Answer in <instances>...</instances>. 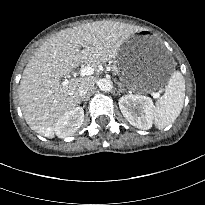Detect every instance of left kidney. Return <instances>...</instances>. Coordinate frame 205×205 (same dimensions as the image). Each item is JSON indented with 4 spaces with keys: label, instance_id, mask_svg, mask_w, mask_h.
<instances>
[{
    "label": "left kidney",
    "instance_id": "left-kidney-1",
    "mask_svg": "<svg viewBox=\"0 0 205 205\" xmlns=\"http://www.w3.org/2000/svg\"><path fill=\"white\" fill-rule=\"evenodd\" d=\"M119 108L126 120L134 127L148 130L154 119V105L150 97L129 94L119 99Z\"/></svg>",
    "mask_w": 205,
    "mask_h": 205
}]
</instances>
